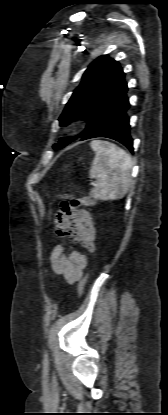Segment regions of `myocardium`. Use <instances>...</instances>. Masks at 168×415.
<instances>
[{
	"mask_svg": "<svg viewBox=\"0 0 168 415\" xmlns=\"http://www.w3.org/2000/svg\"><path fill=\"white\" fill-rule=\"evenodd\" d=\"M79 125V122L77 120L71 121L67 126L66 130L71 132L74 131Z\"/></svg>",
	"mask_w": 168,
	"mask_h": 415,
	"instance_id": "1",
	"label": "myocardium"
}]
</instances>
